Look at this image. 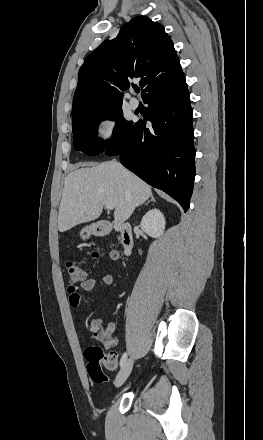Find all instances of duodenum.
Listing matches in <instances>:
<instances>
[{
    "label": "duodenum",
    "mask_w": 263,
    "mask_h": 440,
    "mask_svg": "<svg viewBox=\"0 0 263 440\" xmlns=\"http://www.w3.org/2000/svg\"><path fill=\"white\" fill-rule=\"evenodd\" d=\"M112 229H116L119 231L120 235V244L123 250L124 255H129L134 246V239L132 234V228L129 223L126 222H109L106 226H104V232H109Z\"/></svg>",
    "instance_id": "410a0bca"
}]
</instances>
